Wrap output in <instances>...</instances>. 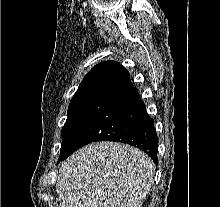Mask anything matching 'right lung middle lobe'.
I'll use <instances>...</instances> for the list:
<instances>
[{
	"instance_id": "1",
	"label": "right lung middle lobe",
	"mask_w": 220,
	"mask_h": 207,
	"mask_svg": "<svg viewBox=\"0 0 220 207\" xmlns=\"http://www.w3.org/2000/svg\"><path fill=\"white\" fill-rule=\"evenodd\" d=\"M102 83H94L78 88L72 97L67 111V120L62 128V144L59 158L65 153L68 144L90 109Z\"/></svg>"
}]
</instances>
